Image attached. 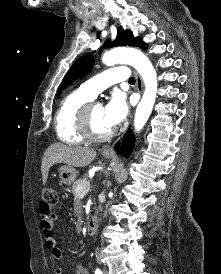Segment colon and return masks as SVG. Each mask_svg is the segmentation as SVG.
Segmentation results:
<instances>
[{
	"mask_svg": "<svg viewBox=\"0 0 221 274\" xmlns=\"http://www.w3.org/2000/svg\"><path fill=\"white\" fill-rule=\"evenodd\" d=\"M42 201H44L48 205H54L57 202L58 195L54 188L45 187L42 190Z\"/></svg>",
	"mask_w": 221,
	"mask_h": 274,
	"instance_id": "5ec220e1",
	"label": "colon"
}]
</instances>
